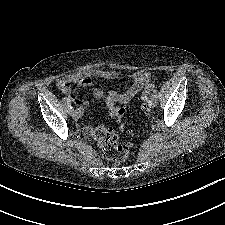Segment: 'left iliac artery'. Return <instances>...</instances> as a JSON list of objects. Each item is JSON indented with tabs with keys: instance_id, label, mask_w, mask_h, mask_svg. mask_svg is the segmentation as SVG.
Listing matches in <instances>:
<instances>
[{
	"instance_id": "obj_1",
	"label": "left iliac artery",
	"mask_w": 225,
	"mask_h": 225,
	"mask_svg": "<svg viewBox=\"0 0 225 225\" xmlns=\"http://www.w3.org/2000/svg\"><path fill=\"white\" fill-rule=\"evenodd\" d=\"M153 96L158 97V91L157 90H154Z\"/></svg>"
}]
</instances>
